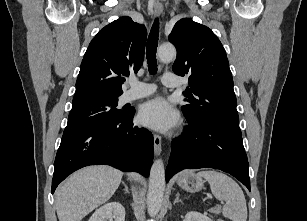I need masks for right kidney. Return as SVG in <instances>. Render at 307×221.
Masks as SVG:
<instances>
[{"instance_id":"ca27d5eb","label":"right kidney","mask_w":307,"mask_h":221,"mask_svg":"<svg viewBox=\"0 0 307 221\" xmlns=\"http://www.w3.org/2000/svg\"><path fill=\"white\" fill-rule=\"evenodd\" d=\"M125 221V208L119 202H110L99 209L90 217L88 221Z\"/></svg>"}]
</instances>
